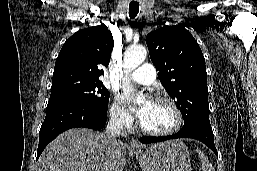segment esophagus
Here are the masks:
<instances>
[{
    "instance_id": "esophagus-1",
    "label": "esophagus",
    "mask_w": 257,
    "mask_h": 171,
    "mask_svg": "<svg viewBox=\"0 0 257 171\" xmlns=\"http://www.w3.org/2000/svg\"><path fill=\"white\" fill-rule=\"evenodd\" d=\"M130 148L134 151L141 150V145L136 139L130 141Z\"/></svg>"
}]
</instances>
